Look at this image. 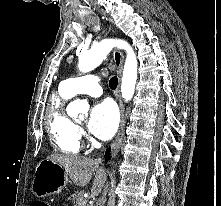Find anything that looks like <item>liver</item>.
<instances>
[{
	"instance_id": "obj_1",
	"label": "liver",
	"mask_w": 221,
	"mask_h": 206,
	"mask_svg": "<svg viewBox=\"0 0 221 206\" xmlns=\"http://www.w3.org/2000/svg\"><path fill=\"white\" fill-rule=\"evenodd\" d=\"M47 159L63 166L67 175L78 186H86L94 174L95 177L91 188V193L94 196L101 193L108 174L104 168L99 166V162L97 160L63 154H53L48 156Z\"/></svg>"
}]
</instances>
